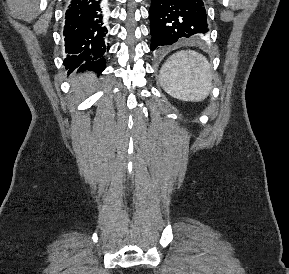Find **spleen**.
I'll return each instance as SVG.
<instances>
[{"mask_svg":"<svg viewBox=\"0 0 289 274\" xmlns=\"http://www.w3.org/2000/svg\"><path fill=\"white\" fill-rule=\"evenodd\" d=\"M160 84L172 97L199 102L212 89V68L207 59L192 50L180 51L163 64Z\"/></svg>","mask_w":289,"mask_h":274,"instance_id":"1","label":"spleen"}]
</instances>
